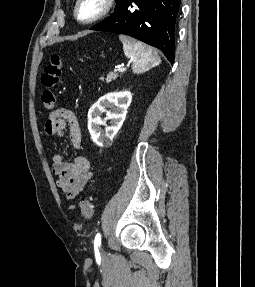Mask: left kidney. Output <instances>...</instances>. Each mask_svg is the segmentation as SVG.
<instances>
[{
  "label": "left kidney",
  "mask_w": 255,
  "mask_h": 287,
  "mask_svg": "<svg viewBox=\"0 0 255 287\" xmlns=\"http://www.w3.org/2000/svg\"><path fill=\"white\" fill-rule=\"evenodd\" d=\"M132 102L131 92H111L99 98L96 104L91 106L88 112V130L91 140L100 147H107L112 142L115 134L120 130L127 114V110ZM111 108V110H107ZM103 112L106 118L102 120ZM105 120H111V126H106ZM100 126H105V132Z\"/></svg>",
  "instance_id": "5707ae66"
}]
</instances>
